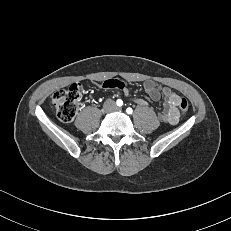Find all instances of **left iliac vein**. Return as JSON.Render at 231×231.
I'll use <instances>...</instances> for the list:
<instances>
[{
	"instance_id": "left-iliac-vein-1",
	"label": "left iliac vein",
	"mask_w": 231,
	"mask_h": 231,
	"mask_svg": "<svg viewBox=\"0 0 231 231\" xmlns=\"http://www.w3.org/2000/svg\"><path fill=\"white\" fill-rule=\"evenodd\" d=\"M115 111L121 112V111H122V109H121V108H119V107H117V108H115Z\"/></svg>"
}]
</instances>
